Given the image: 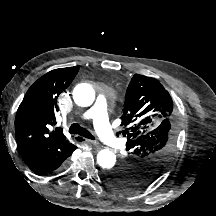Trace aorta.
Returning a JSON list of instances; mask_svg holds the SVG:
<instances>
[{
    "label": "aorta",
    "instance_id": "762f6f07",
    "mask_svg": "<svg viewBox=\"0 0 216 216\" xmlns=\"http://www.w3.org/2000/svg\"><path fill=\"white\" fill-rule=\"evenodd\" d=\"M73 99L78 106L88 107L95 100V91L89 84H79L73 90ZM116 156L109 149H102L97 154V163L103 169H111L115 165Z\"/></svg>",
    "mask_w": 216,
    "mask_h": 216
}]
</instances>
